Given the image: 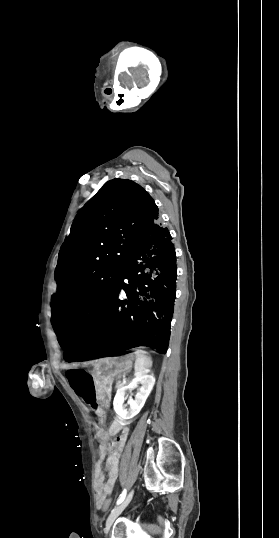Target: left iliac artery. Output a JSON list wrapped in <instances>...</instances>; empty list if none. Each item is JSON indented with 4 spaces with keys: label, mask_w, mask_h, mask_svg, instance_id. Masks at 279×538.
Here are the masks:
<instances>
[{
    "label": "left iliac artery",
    "mask_w": 279,
    "mask_h": 538,
    "mask_svg": "<svg viewBox=\"0 0 279 538\" xmlns=\"http://www.w3.org/2000/svg\"><path fill=\"white\" fill-rule=\"evenodd\" d=\"M125 496H126V489L123 490L122 494L118 498L117 505H119L124 500Z\"/></svg>",
    "instance_id": "obj_1"
}]
</instances>
